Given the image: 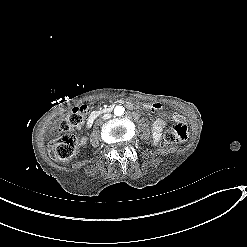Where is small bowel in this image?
<instances>
[{
	"label": "small bowel",
	"instance_id": "obj_1",
	"mask_svg": "<svg viewBox=\"0 0 247 247\" xmlns=\"http://www.w3.org/2000/svg\"><path fill=\"white\" fill-rule=\"evenodd\" d=\"M82 106H85V105H82ZM173 119L176 122H181L183 120V118H182V116L180 114H174L173 115ZM166 124H167L166 119H164L162 117L157 118L153 122V125H152V135H153V140L155 142H158L160 140L161 135H162V131L165 128Z\"/></svg>",
	"mask_w": 247,
	"mask_h": 247
}]
</instances>
